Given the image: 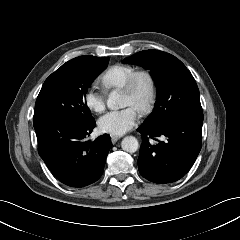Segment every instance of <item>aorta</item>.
<instances>
[{"instance_id": "762f6f07", "label": "aorta", "mask_w": 240, "mask_h": 240, "mask_svg": "<svg viewBox=\"0 0 240 240\" xmlns=\"http://www.w3.org/2000/svg\"><path fill=\"white\" fill-rule=\"evenodd\" d=\"M122 106L121 96L116 91H112L107 100V107L111 110H117ZM121 147L126 152L134 153L138 150L139 143L135 137L127 136L122 140Z\"/></svg>"}]
</instances>
